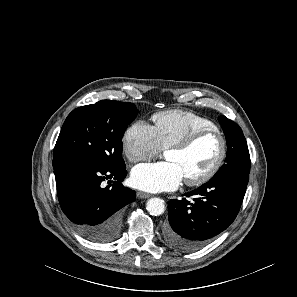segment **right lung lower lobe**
<instances>
[{"instance_id":"right-lung-lower-lobe-1","label":"right lung lower lobe","mask_w":297,"mask_h":297,"mask_svg":"<svg viewBox=\"0 0 297 297\" xmlns=\"http://www.w3.org/2000/svg\"><path fill=\"white\" fill-rule=\"evenodd\" d=\"M58 199L62 211L84 238L99 243L116 239L120 233L123 207L135 191L124 187L126 167L108 168L77 157L53 159ZM113 180L104 187L103 181Z\"/></svg>"}]
</instances>
